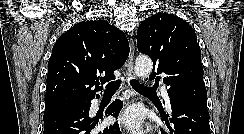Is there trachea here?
<instances>
[{"label":"trachea","instance_id":"obj_1","mask_svg":"<svg viewBox=\"0 0 244 134\" xmlns=\"http://www.w3.org/2000/svg\"><path fill=\"white\" fill-rule=\"evenodd\" d=\"M120 84H121V80L109 82L105 87V93L114 94L116 92V90L119 89ZM130 84H131L132 88L140 94L149 95V96L157 95L155 91H153L152 89H150L148 87L143 86L135 79L130 80Z\"/></svg>","mask_w":244,"mask_h":134}]
</instances>
